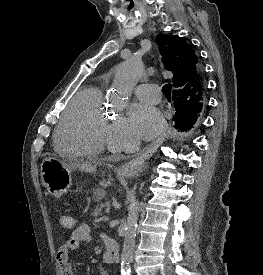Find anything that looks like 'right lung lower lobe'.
Listing matches in <instances>:
<instances>
[{"label":"right lung lower lobe","mask_w":263,"mask_h":275,"mask_svg":"<svg viewBox=\"0 0 263 275\" xmlns=\"http://www.w3.org/2000/svg\"><path fill=\"white\" fill-rule=\"evenodd\" d=\"M196 76L200 79H202L203 77L200 66L196 71ZM184 93L185 92L183 91H173V101L176 108V113L173 120L175 121V128L179 129L180 131L190 130L200 117V113L193 114L188 112L187 109L184 108Z\"/></svg>","instance_id":"1"}]
</instances>
